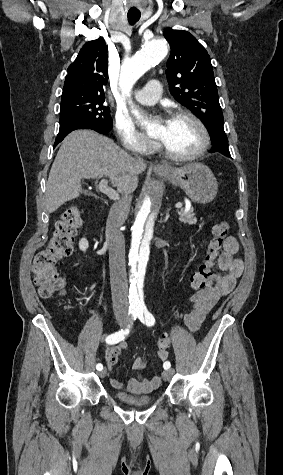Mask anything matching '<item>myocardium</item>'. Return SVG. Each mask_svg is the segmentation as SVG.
I'll list each match as a JSON object with an SVG mask.
<instances>
[{
    "label": "myocardium",
    "mask_w": 283,
    "mask_h": 475,
    "mask_svg": "<svg viewBox=\"0 0 283 475\" xmlns=\"http://www.w3.org/2000/svg\"><path fill=\"white\" fill-rule=\"evenodd\" d=\"M172 118H178V117H184L187 118L191 121H193L200 129L201 131V141L200 144L198 145L197 149L192 152L191 154L188 155H183V156H177L173 155L170 153V151L166 148L164 143L156 138L157 146L159 151L171 162L176 163V164H186L190 163L193 161L198 160L201 158L204 153L207 151L210 143V134L208 131L207 126L205 123L194 113L190 111H185V110H176L171 114Z\"/></svg>",
    "instance_id": "f54148a6"
}]
</instances>
